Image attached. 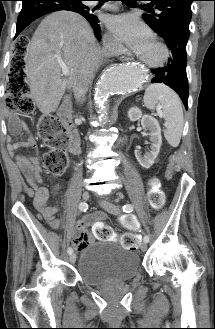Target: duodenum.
Returning <instances> with one entry per match:
<instances>
[{"instance_id": "1", "label": "duodenum", "mask_w": 215, "mask_h": 329, "mask_svg": "<svg viewBox=\"0 0 215 329\" xmlns=\"http://www.w3.org/2000/svg\"><path fill=\"white\" fill-rule=\"evenodd\" d=\"M58 116L62 121L68 136V151L72 154L80 152V138L72 122V103L66 97L60 105Z\"/></svg>"}]
</instances>
